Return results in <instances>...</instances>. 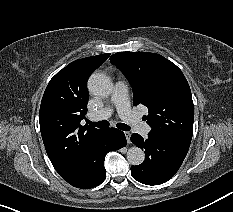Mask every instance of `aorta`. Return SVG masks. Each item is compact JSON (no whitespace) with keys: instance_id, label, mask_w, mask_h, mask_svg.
I'll list each match as a JSON object with an SVG mask.
<instances>
[{"instance_id":"1","label":"aorta","mask_w":233,"mask_h":212,"mask_svg":"<svg viewBox=\"0 0 233 212\" xmlns=\"http://www.w3.org/2000/svg\"><path fill=\"white\" fill-rule=\"evenodd\" d=\"M89 91L96 96L109 97L113 91L110 78L103 73H94L88 80ZM145 153L139 147L133 146L127 151V160L131 165L137 166L143 163Z\"/></svg>"}]
</instances>
